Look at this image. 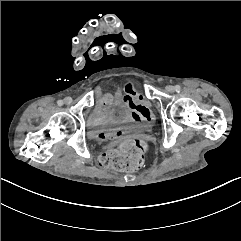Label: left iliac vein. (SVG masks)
<instances>
[{
    "instance_id": "1",
    "label": "left iliac vein",
    "mask_w": 241,
    "mask_h": 241,
    "mask_svg": "<svg viewBox=\"0 0 241 241\" xmlns=\"http://www.w3.org/2000/svg\"><path fill=\"white\" fill-rule=\"evenodd\" d=\"M174 86H172V85H168V86H166V91L167 92H173L174 91Z\"/></svg>"
}]
</instances>
